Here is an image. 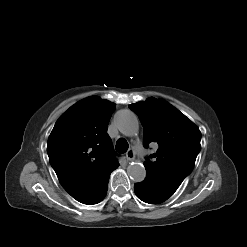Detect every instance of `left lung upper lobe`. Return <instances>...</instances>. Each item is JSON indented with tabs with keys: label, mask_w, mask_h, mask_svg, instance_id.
Instances as JSON below:
<instances>
[{
	"label": "left lung upper lobe",
	"mask_w": 247,
	"mask_h": 247,
	"mask_svg": "<svg viewBox=\"0 0 247 247\" xmlns=\"http://www.w3.org/2000/svg\"><path fill=\"white\" fill-rule=\"evenodd\" d=\"M144 127V146L158 144L153 160L144 163L146 173L173 193L188 176L201 149V133L185 115L164 100L148 98L129 105Z\"/></svg>",
	"instance_id": "obj_1"
}]
</instances>
